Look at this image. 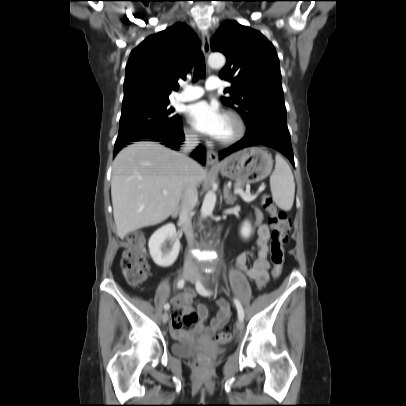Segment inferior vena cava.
Returning a JSON list of instances; mask_svg holds the SVG:
<instances>
[{
	"label": "inferior vena cava",
	"instance_id": "obj_1",
	"mask_svg": "<svg viewBox=\"0 0 406 406\" xmlns=\"http://www.w3.org/2000/svg\"><path fill=\"white\" fill-rule=\"evenodd\" d=\"M199 139L196 134L188 133L185 135V141L181 148V155L186 160L185 167V189L181 196V207L179 220L185 233L189 245L194 243V234L191 223V213L198 200L196 178L193 171L194 161L187 154L198 146ZM185 268H193L194 262L192 257L188 256L185 261Z\"/></svg>",
	"mask_w": 406,
	"mask_h": 406
}]
</instances>
